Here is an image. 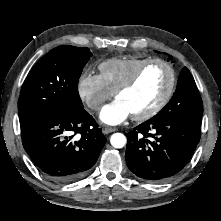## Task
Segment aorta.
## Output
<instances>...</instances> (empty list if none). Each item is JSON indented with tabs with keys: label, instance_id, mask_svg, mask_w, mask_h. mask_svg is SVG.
Wrapping results in <instances>:
<instances>
[{
	"label": "aorta",
	"instance_id": "762f6f07",
	"mask_svg": "<svg viewBox=\"0 0 221 221\" xmlns=\"http://www.w3.org/2000/svg\"><path fill=\"white\" fill-rule=\"evenodd\" d=\"M127 139L122 133H114L110 138V143L114 148H122L125 146Z\"/></svg>",
	"mask_w": 221,
	"mask_h": 221
}]
</instances>
